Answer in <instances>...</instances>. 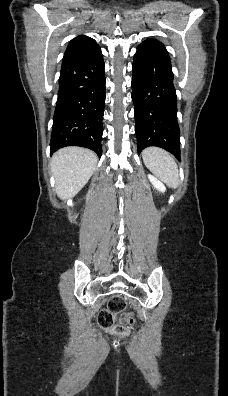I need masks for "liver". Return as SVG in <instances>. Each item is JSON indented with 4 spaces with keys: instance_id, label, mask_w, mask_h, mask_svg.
<instances>
[{
    "instance_id": "1",
    "label": "liver",
    "mask_w": 228,
    "mask_h": 396,
    "mask_svg": "<svg viewBox=\"0 0 228 396\" xmlns=\"http://www.w3.org/2000/svg\"><path fill=\"white\" fill-rule=\"evenodd\" d=\"M98 161L97 155L86 148L66 147L52 157L50 168L55 177L59 198L74 197L92 176Z\"/></svg>"
}]
</instances>
